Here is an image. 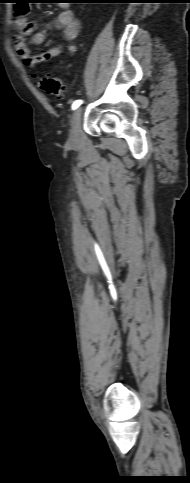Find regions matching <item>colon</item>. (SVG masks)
<instances>
[{
	"label": "colon",
	"mask_w": 190,
	"mask_h": 483,
	"mask_svg": "<svg viewBox=\"0 0 190 483\" xmlns=\"http://www.w3.org/2000/svg\"><path fill=\"white\" fill-rule=\"evenodd\" d=\"M26 7V4L21 5L17 10L18 14L23 15ZM36 83L49 94L58 97L63 96L67 88L66 82L62 78L52 75L37 76Z\"/></svg>",
	"instance_id": "obj_1"
}]
</instances>
